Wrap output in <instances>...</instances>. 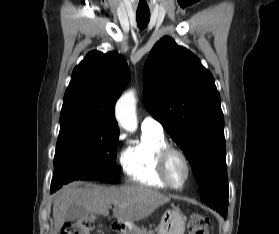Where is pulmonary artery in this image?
I'll return each instance as SVG.
<instances>
[{"instance_id":"pulmonary-artery-1","label":"pulmonary artery","mask_w":279,"mask_h":234,"mask_svg":"<svg viewBox=\"0 0 279 234\" xmlns=\"http://www.w3.org/2000/svg\"><path fill=\"white\" fill-rule=\"evenodd\" d=\"M142 131H151L156 133H163L162 124L152 116H146L141 123Z\"/></svg>"}]
</instances>
